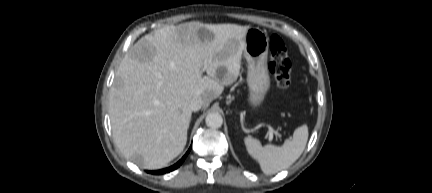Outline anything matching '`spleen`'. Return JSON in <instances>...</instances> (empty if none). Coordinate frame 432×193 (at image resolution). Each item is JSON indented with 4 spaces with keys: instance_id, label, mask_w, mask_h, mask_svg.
I'll use <instances>...</instances> for the list:
<instances>
[{
    "instance_id": "1",
    "label": "spleen",
    "mask_w": 432,
    "mask_h": 193,
    "mask_svg": "<svg viewBox=\"0 0 432 193\" xmlns=\"http://www.w3.org/2000/svg\"><path fill=\"white\" fill-rule=\"evenodd\" d=\"M308 140V127H298L293 138L286 140L281 146L265 145L260 141L247 136L244 139L246 149L250 156L258 161L262 172L266 175L278 173L290 167L303 153Z\"/></svg>"
}]
</instances>
